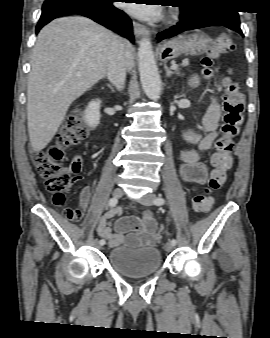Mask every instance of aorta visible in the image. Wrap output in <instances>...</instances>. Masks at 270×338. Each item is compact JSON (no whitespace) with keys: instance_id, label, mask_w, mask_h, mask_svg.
I'll use <instances>...</instances> for the list:
<instances>
[{"instance_id":"obj_1","label":"aorta","mask_w":270,"mask_h":338,"mask_svg":"<svg viewBox=\"0 0 270 338\" xmlns=\"http://www.w3.org/2000/svg\"><path fill=\"white\" fill-rule=\"evenodd\" d=\"M139 74L142 88L150 99H157L161 91V80L155 62L152 44L148 38L139 42Z\"/></svg>"}]
</instances>
